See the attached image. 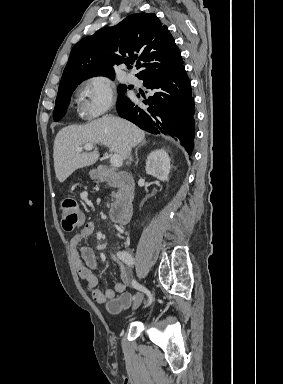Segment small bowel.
<instances>
[{"instance_id":"c3829d8e","label":"small bowel","mask_w":283,"mask_h":384,"mask_svg":"<svg viewBox=\"0 0 283 384\" xmlns=\"http://www.w3.org/2000/svg\"><path fill=\"white\" fill-rule=\"evenodd\" d=\"M95 229L96 226L92 222L84 224L70 241L71 253L76 270L80 278L84 280L85 288L91 294L92 299L99 304H108L117 295L125 292L130 284V272L118 259V256L113 255V260L120 267V281L105 290L98 288V279L93 273L97 266L95 253L90 247L83 245V242L94 233Z\"/></svg>"}]
</instances>
